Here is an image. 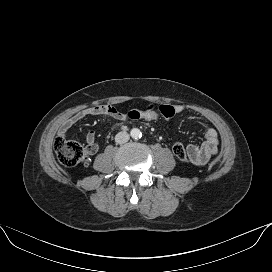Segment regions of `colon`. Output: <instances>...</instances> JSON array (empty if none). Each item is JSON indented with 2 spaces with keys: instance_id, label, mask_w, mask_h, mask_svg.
I'll list each match as a JSON object with an SVG mask.
<instances>
[{
  "instance_id": "colon-1",
  "label": "colon",
  "mask_w": 272,
  "mask_h": 272,
  "mask_svg": "<svg viewBox=\"0 0 272 272\" xmlns=\"http://www.w3.org/2000/svg\"><path fill=\"white\" fill-rule=\"evenodd\" d=\"M176 113L174 106L163 104L158 108L146 106L141 109H133L127 113V117L133 121L141 120L162 125L172 119ZM54 149L59 162L65 167L88 163L87 150L78 142L58 137L54 142ZM173 153L180 161L190 162L187 151L181 143L174 144Z\"/></svg>"
}]
</instances>
